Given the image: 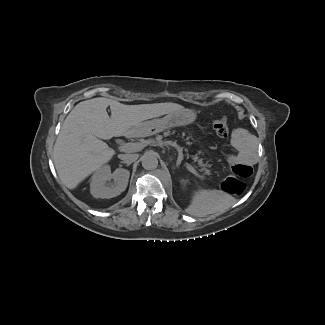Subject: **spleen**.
<instances>
[{"label": "spleen", "instance_id": "spleen-1", "mask_svg": "<svg viewBox=\"0 0 325 325\" xmlns=\"http://www.w3.org/2000/svg\"><path fill=\"white\" fill-rule=\"evenodd\" d=\"M233 203L232 198L220 190L199 189L194 191L190 205L186 212L203 217L220 211H225Z\"/></svg>", "mask_w": 325, "mask_h": 325}]
</instances>
